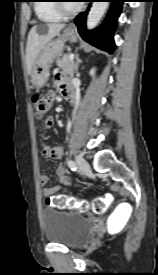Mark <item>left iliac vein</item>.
I'll return each instance as SVG.
<instances>
[{
	"mask_svg": "<svg viewBox=\"0 0 158 275\" xmlns=\"http://www.w3.org/2000/svg\"><path fill=\"white\" fill-rule=\"evenodd\" d=\"M76 164L78 166V169L83 173H89L90 172V166L88 162L81 156L76 157Z\"/></svg>",
	"mask_w": 158,
	"mask_h": 275,
	"instance_id": "4c4485c4",
	"label": "left iliac vein"
}]
</instances>
